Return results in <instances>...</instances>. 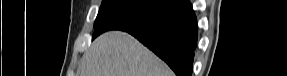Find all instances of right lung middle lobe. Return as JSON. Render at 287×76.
<instances>
[{"mask_svg":"<svg viewBox=\"0 0 287 76\" xmlns=\"http://www.w3.org/2000/svg\"><path fill=\"white\" fill-rule=\"evenodd\" d=\"M175 4L174 0H103L94 23L93 39L109 30L141 29Z\"/></svg>","mask_w":287,"mask_h":76,"instance_id":"dd1d6c3e","label":"right lung middle lobe"}]
</instances>
